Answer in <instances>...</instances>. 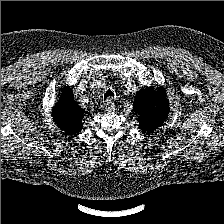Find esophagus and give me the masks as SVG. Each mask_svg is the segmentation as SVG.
I'll list each match as a JSON object with an SVG mask.
<instances>
[{"label": "esophagus", "mask_w": 224, "mask_h": 224, "mask_svg": "<svg viewBox=\"0 0 224 224\" xmlns=\"http://www.w3.org/2000/svg\"><path fill=\"white\" fill-rule=\"evenodd\" d=\"M106 110L109 111V112H112V111L115 110V104L112 101V98H108L106 100Z\"/></svg>", "instance_id": "1"}]
</instances>
